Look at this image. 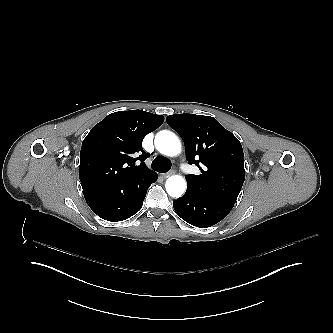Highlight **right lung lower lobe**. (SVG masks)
<instances>
[{
    "label": "right lung lower lobe",
    "instance_id": "obj_1",
    "mask_svg": "<svg viewBox=\"0 0 333 333\" xmlns=\"http://www.w3.org/2000/svg\"><path fill=\"white\" fill-rule=\"evenodd\" d=\"M157 177L150 170L124 181H85L84 197L99 217L112 222L122 221L141 209L146 192Z\"/></svg>",
    "mask_w": 333,
    "mask_h": 333
}]
</instances>
